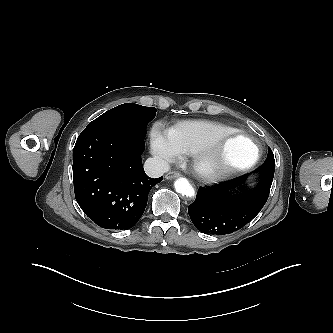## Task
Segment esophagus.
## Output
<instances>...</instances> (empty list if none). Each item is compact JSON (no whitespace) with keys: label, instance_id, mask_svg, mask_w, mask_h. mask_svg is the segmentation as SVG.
<instances>
[{"label":"esophagus","instance_id":"esophagus-1","mask_svg":"<svg viewBox=\"0 0 333 333\" xmlns=\"http://www.w3.org/2000/svg\"><path fill=\"white\" fill-rule=\"evenodd\" d=\"M180 176H181V174L179 172L170 171L165 175V178L168 179V180H172V179L178 178Z\"/></svg>","mask_w":333,"mask_h":333}]
</instances>
